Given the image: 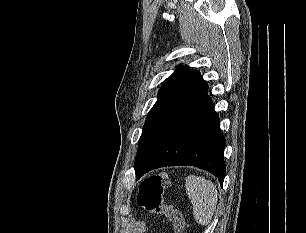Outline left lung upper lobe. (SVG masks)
<instances>
[{"label":"left lung upper lobe","mask_w":306,"mask_h":233,"mask_svg":"<svg viewBox=\"0 0 306 233\" xmlns=\"http://www.w3.org/2000/svg\"><path fill=\"white\" fill-rule=\"evenodd\" d=\"M208 85L195 70L179 69L169 77L158 93L139 140L135 173L162 137L207 93Z\"/></svg>","instance_id":"1"}]
</instances>
